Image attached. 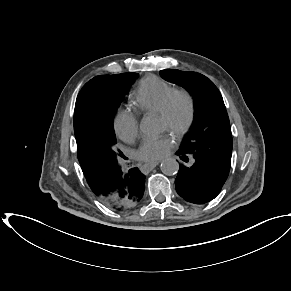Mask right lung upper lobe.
Returning <instances> with one entry per match:
<instances>
[{
	"mask_svg": "<svg viewBox=\"0 0 291 291\" xmlns=\"http://www.w3.org/2000/svg\"><path fill=\"white\" fill-rule=\"evenodd\" d=\"M74 133L77 142L78 160L86 180L94 194L98 197H102L106 194V186L100 179V170L104 167V164H102L83 147L80 134L75 123Z\"/></svg>",
	"mask_w": 291,
	"mask_h": 291,
	"instance_id": "cb5924a9",
	"label": "right lung upper lobe"
}]
</instances>
